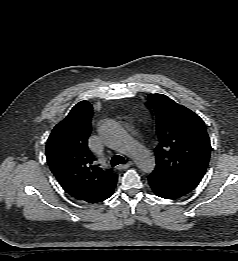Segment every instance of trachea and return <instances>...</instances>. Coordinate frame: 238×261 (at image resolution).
Returning <instances> with one entry per match:
<instances>
[{"label":"trachea","instance_id":"1","mask_svg":"<svg viewBox=\"0 0 238 261\" xmlns=\"http://www.w3.org/2000/svg\"><path fill=\"white\" fill-rule=\"evenodd\" d=\"M111 166L114 167L119 164H125V159L120 155H115L111 159Z\"/></svg>","mask_w":238,"mask_h":261}]
</instances>
